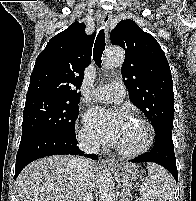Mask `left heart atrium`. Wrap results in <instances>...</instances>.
Masks as SVG:
<instances>
[{"mask_svg": "<svg viewBox=\"0 0 196 201\" xmlns=\"http://www.w3.org/2000/svg\"><path fill=\"white\" fill-rule=\"evenodd\" d=\"M85 121L99 140L116 145L129 125L130 117L124 111L92 108L87 112Z\"/></svg>", "mask_w": 196, "mask_h": 201, "instance_id": "1", "label": "left heart atrium"}]
</instances>
